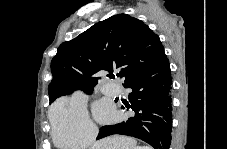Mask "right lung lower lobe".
<instances>
[{
	"label": "right lung lower lobe",
	"instance_id": "1",
	"mask_svg": "<svg viewBox=\"0 0 227 149\" xmlns=\"http://www.w3.org/2000/svg\"><path fill=\"white\" fill-rule=\"evenodd\" d=\"M123 86L131 88L134 116L116 125L104 126L97 139L122 134L133 136L155 149H169L172 131V77L167 57L151 69L128 79Z\"/></svg>",
	"mask_w": 227,
	"mask_h": 149
}]
</instances>
